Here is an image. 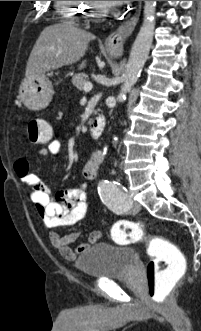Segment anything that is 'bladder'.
<instances>
[{
    "label": "bladder",
    "mask_w": 201,
    "mask_h": 331,
    "mask_svg": "<svg viewBox=\"0 0 201 331\" xmlns=\"http://www.w3.org/2000/svg\"><path fill=\"white\" fill-rule=\"evenodd\" d=\"M135 259L136 251L130 247L100 242L80 255L74 266L91 279H114L125 276Z\"/></svg>",
    "instance_id": "bladder-1"
}]
</instances>
